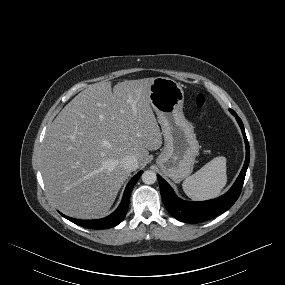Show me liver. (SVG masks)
<instances>
[{
    "instance_id": "6515ba94",
    "label": "liver",
    "mask_w": 285,
    "mask_h": 285,
    "mask_svg": "<svg viewBox=\"0 0 285 285\" xmlns=\"http://www.w3.org/2000/svg\"><path fill=\"white\" fill-rule=\"evenodd\" d=\"M155 78L125 80L113 89L99 82L74 97L47 129L41 169L50 200L80 219L109 211L129 177L121 160L133 155L138 167L162 145L150 103Z\"/></svg>"
}]
</instances>
